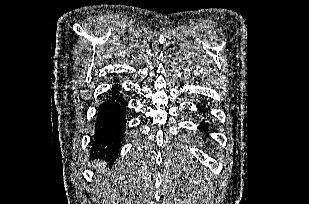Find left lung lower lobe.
I'll return each instance as SVG.
<instances>
[{"label": "left lung lower lobe", "mask_w": 309, "mask_h": 204, "mask_svg": "<svg viewBox=\"0 0 309 204\" xmlns=\"http://www.w3.org/2000/svg\"><path fill=\"white\" fill-rule=\"evenodd\" d=\"M199 108V107H198ZM201 111L203 112V114H205V110H204V106L202 107ZM208 123L205 122V121H202V123L200 124L199 126V129L204 131V132H207L208 131Z\"/></svg>", "instance_id": "left-lung-lower-lobe-1"}]
</instances>
